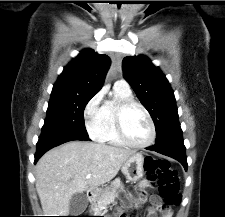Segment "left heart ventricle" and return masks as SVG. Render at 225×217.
Instances as JSON below:
<instances>
[{
  "mask_svg": "<svg viewBox=\"0 0 225 217\" xmlns=\"http://www.w3.org/2000/svg\"><path fill=\"white\" fill-rule=\"evenodd\" d=\"M124 129L129 140L136 144L146 143L150 138V125L138 107L129 109L124 117Z\"/></svg>",
  "mask_w": 225,
  "mask_h": 217,
  "instance_id": "obj_1",
  "label": "left heart ventricle"
}]
</instances>
